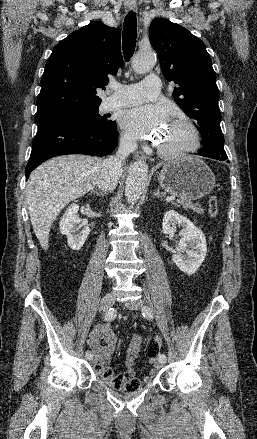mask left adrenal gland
<instances>
[{
    "label": "left adrenal gland",
    "instance_id": "a2214340",
    "mask_svg": "<svg viewBox=\"0 0 257 439\" xmlns=\"http://www.w3.org/2000/svg\"><path fill=\"white\" fill-rule=\"evenodd\" d=\"M152 197L161 198V196H160V188H158V189L153 193Z\"/></svg>",
    "mask_w": 257,
    "mask_h": 439
}]
</instances>
